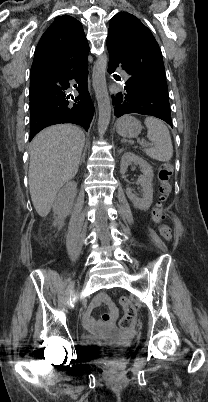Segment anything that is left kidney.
I'll list each match as a JSON object with an SVG mask.
<instances>
[{"instance_id":"1","label":"left kidney","mask_w":208,"mask_h":402,"mask_svg":"<svg viewBox=\"0 0 208 402\" xmlns=\"http://www.w3.org/2000/svg\"><path fill=\"white\" fill-rule=\"evenodd\" d=\"M133 162L142 168V176H139L138 184L143 188V198H137L135 194H132L131 188H126V194L135 208H139V210H149L153 200V170L148 162H145L140 156H136L134 152H125L121 158V174H126L128 166H131Z\"/></svg>"}]
</instances>
